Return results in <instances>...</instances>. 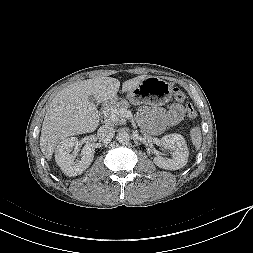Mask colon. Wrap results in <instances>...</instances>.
<instances>
[{
    "label": "colon",
    "mask_w": 253,
    "mask_h": 253,
    "mask_svg": "<svg viewBox=\"0 0 253 253\" xmlns=\"http://www.w3.org/2000/svg\"><path fill=\"white\" fill-rule=\"evenodd\" d=\"M174 97L179 102H185V100H186V95L179 88H174ZM185 111H186L187 116L190 119L196 118L197 112H196V110L194 109V107H193V105L191 103L187 102L185 104Z\"/></svg>",
    "instance_id": "1"
}]
</instances>
